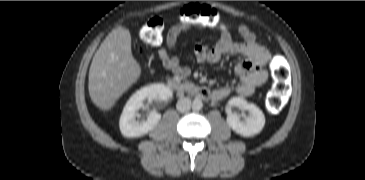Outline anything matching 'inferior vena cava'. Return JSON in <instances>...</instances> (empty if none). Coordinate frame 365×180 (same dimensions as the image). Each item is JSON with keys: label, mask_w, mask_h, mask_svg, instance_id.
<instances>
[{"label": "inferior vena cava", "mask_w": 365, "mask_h": 180, "mask_svg": "<svg viewBox=\"0 0 365 180\" xmlns=\"http://www.w3.org/2000/svg\"><path fill=\"white\" fill-rule=\"evenodd\" d=\"M191 100L189 98H181L177 101L176 108L179 112H187L191 108Z\"/></svg>", "instance_id": "1"}]
</instances>
